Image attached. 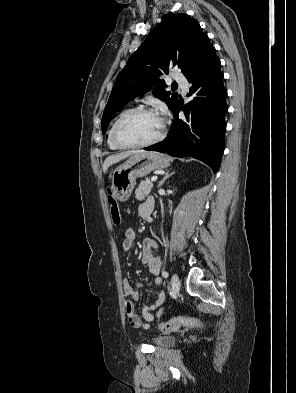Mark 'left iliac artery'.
<instances>
[{"instance_id": "obj_1", "label": "left iliac artery", "mask_w": 296, "mask_h": 393, "mask_svg": "<svg viewBox=\"0 0 296 393\" xmlns=\"http://www.w3.org/2000/svg\"><path fill=\"white\" fill-rule=\"evenodd\" d=\"M162 276H163L164 278H167V277L169 276V273H168L167 271H164V272L162 273Z\"/></svg>"}]
</instances>
